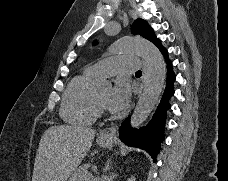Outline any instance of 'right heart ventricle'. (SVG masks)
Returning <instances> with one entry per match:
<instances>
[{
	"instance_id": "1",
	"label": "right heart ventricle",
	"mask_w": 228,
	"mask_h": 181,
	"mask_svg": "<svg viewBox=\"0 0 228 181\" xmlns=\"http://www.w3.org/2000/svg\"><path fill=\"white\" fill-rule=\"evenodd\" d=\"M96 76L90 70L77 74L71 80L63 99L62 116L75 124H90L97 117Z\"/></svg>"
}]
</instances>
